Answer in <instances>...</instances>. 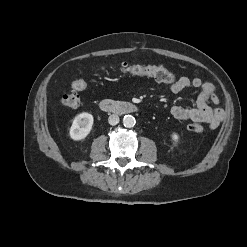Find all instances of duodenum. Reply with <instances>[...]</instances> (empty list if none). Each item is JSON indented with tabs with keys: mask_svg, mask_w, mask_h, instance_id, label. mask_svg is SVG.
Listing matches in <instances>:
<instances>
[{
	"mask_svg": "<svg viewBox=\"0 0 247 247\" xmlns=\"http://www.w3.org/2000/svg\"><path fill=\"white\" fill-rule=\"evenodd\" d=\"M100 108L105 112L116 114H129L137 111V107L129 102L104 99L100 102Z\"/></svg>",
	"mask_w": 247,
	"mask_h": 247,
	"instance_id": "410a0bca",
	"label": "duodenum"
}]
</instances>
